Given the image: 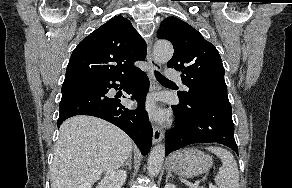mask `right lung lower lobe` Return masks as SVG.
<instances>
[{"instance_id": "98d812e1", "label": "right lung lower lobe", "mask_w": 292, "mask_h": 188, "mask_svg": "<svg viewBox=\"0 0 292 188\" xmlns=\"http://www.w3.org/2000/svg\"><path fill=\"white\" fill-rule=\"evenodd\" d=\"M121 82L125 92L136 100L135 110L120 103L121 96H111L110 88H118ZM149 80L140 69L124 77H96L65 79L62 85V99L59 104L57 126L75 115H91L104 119L126 132L136 143L143 155L152 145V128L144 110ZM125 97V96H123Z\"/></svg>"}]
</instances>
